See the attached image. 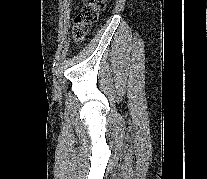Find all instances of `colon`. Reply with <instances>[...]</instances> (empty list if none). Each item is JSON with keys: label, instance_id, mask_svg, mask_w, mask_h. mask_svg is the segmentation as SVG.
<instances>
[{"label": "colon", "instance_id": "5ec220e1", "mask_svg": "<svg viewBox=\"0 0 207 179\" xmlns=\"http://www.w3.org/2000/svg\"><path fill=\"white\" fill-rule=\"evenodd\" d=\"M106 2L107 0H86L83 3L74 19L73 37L76 41H82L86 37L89 27L98 20Z\"/></svg>", "mask_w": 207, "mask_h": 179}]
</instances>
